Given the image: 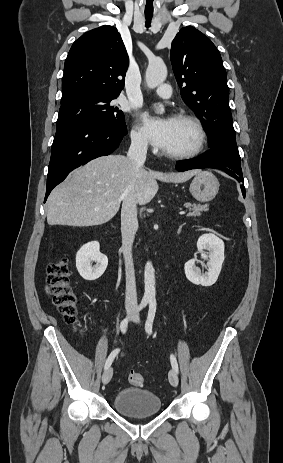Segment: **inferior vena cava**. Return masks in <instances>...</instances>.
Returning a JSON list of instances; mask_svg holds the SVG:
<instances>
[{
  "mask_svg": "<svg viewBox=\"0 0 283 463\" xmlns=\"http://www.w3.org/2000/svg\"><path fill=\"white\" fill-rule=\"evenodd\" d=\"M147 146L148 142L143 137H134L131 139L127 158L131 161L136 173L139 172L145 163ZM134 189L135 180L133 179L123 194L121 209V251L125 260V308L127 311H135L138 308L135 270L132 258V246L138 229L137 202Z\"/></svg>",
  "mask_w": 283,
  "mask_h": 463,
  "instance_id": "602c4592",
  "label": "inferior vena cava"
}]
</instances>
